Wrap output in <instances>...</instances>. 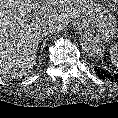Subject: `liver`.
Returning a JSON list of instances; mask_svg holds the SVG:
<instances>
[{"mask_svg":"<svg viewBox=\"0 0 118 118\" xmlns=\"http://www.w3.org/2000/svg\"><path fill=\"white\" fill-rule=\"evenodd\" d=\"M99 11L93 0H0V74L26 76L36 64L42 24L66 26L76 18L96 22Z\"/></svg>","mask_w":118,"mask_h":118,"instance_id":"obj_1","label":"liver"}]
</instances>
